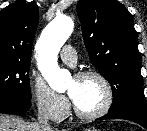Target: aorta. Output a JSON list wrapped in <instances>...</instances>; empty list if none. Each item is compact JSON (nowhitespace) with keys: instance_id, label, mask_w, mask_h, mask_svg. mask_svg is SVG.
<instances>
[{"instance_id":"1","label":"aorta","mask_w":147,"mask_h":131,"mask_svg":"<svg viewBox=\"0 0 147 131\" xmlns=\"http://www.w3.org/2000/svg\"><path fill=\"white\" fill-rule=\"evenodd\" d=\"M74 23L68 16H59L43 30L37 45L36 59L38 68L49 86L58 92L66 89L71 74L58 66L57 56L73 31Z\"/></svg>"}]
</instances>
